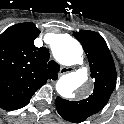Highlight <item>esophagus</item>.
Listing matches in <instances>:
<instances>
[{
  "mask_svg": "<svg viewBox=\"0 0 124 124\" xmlns=\"http://www.w3.org/2000/svg\"><path fill=\"white\" fill-rule=\"evenodd\" d=\"M72 71H74V68H72V67H62L60 69L59 75H63V74H66V73H69Z\"/></svg>",
  "mask_w": 124,
  "mask_h": 124,
  "instance_id": "34e87169",
  "label": "esophagus"
}]
</instances>
